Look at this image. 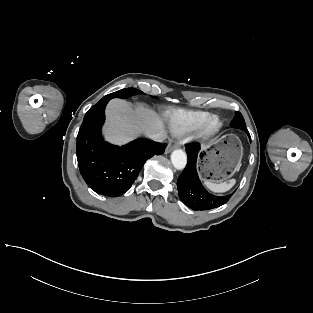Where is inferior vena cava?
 I'll return each mask as SVG.
<instances>
[{
  "instance_id": "1",
  "label": "inferior vena cava",
  "mask_w": 313,
  "mask_h": 313,
  "mask_svg": "<svg viewBox=\"0 0 313 313\" xmlns=\"http://www.w3.org/2000/svg\"><path fill=\"white\" fill-rule=\"evenodd\" d=\"M151 140L162 142L166 137V132L163 130L156 132H147L146 134Z\"/></svg>"
}]
</instances>
